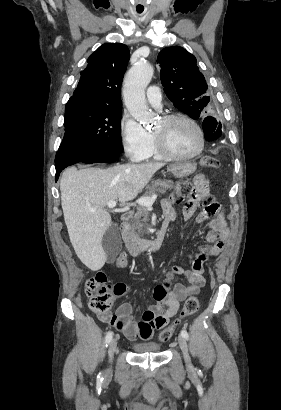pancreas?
<instances>
[{
    "mask_svg": "<svg viewBox=\"0 0 281 410\" xmlns=\"http://www.w3.org/2000/svg\"><path fill=\"white\" fill-rule=\"evenodd\" d=\"M173 187L171 180H156L148 187L144 197H151L153 194H165L168 189ZM149 216L148 209L145 206L138 205L136 212H130L123 230V238L126 243L136 240L145 232Z\"/></svg>",
    "mask_w": 281,
    "mask_h": 410,
    "instance_id": "obj_1",
    "label": "pancreas"
}]
</instances>
